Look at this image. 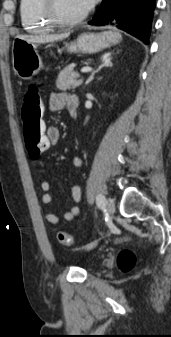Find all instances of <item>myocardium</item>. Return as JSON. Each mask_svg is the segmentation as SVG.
Returning <instances> with one entry per match:
<instances>
[{
    "label": "myocardium",
    "mask_w": 171,
    "mask_h": 337,
    "mask_svg": "<svg viewBox=\"0 0 171 337\" xmlns=\"http://www.w3.org/2000/svg\"><path fill=\"white\" fill-rule=\"evenodd\" d=\"M43 11L46 18L54 25L65 27L73 26L82 22L89 14V9L76 17L65 18L57 9V0H42Z\"/></svg>",
    "instance_id": "1"
}]
</instances>
